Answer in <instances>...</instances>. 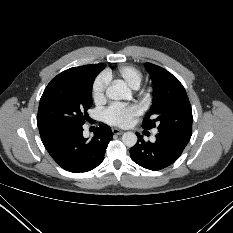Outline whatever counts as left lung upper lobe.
I'll return each mask as SVG.
<instances>
[{
    "label": "left lung upper lobe",
    "instance_id": "left-lung-upper-lobe-1",
    "mask_svg": "<svg viewBox=\"0 0 233 233\" xmlns=\"http://www.w3.org/2000/svg\"><path fill=\"white\" fill-rule=\"evenodd\" d=\"M146 68L153 82V103L142 127L150 129L158 123L159 132L191 137L193 117L184 87L165 69L151 63Z\"/></svg>",
    "mask_w": 233,
    "mask_h": 233
}]
</instances>
